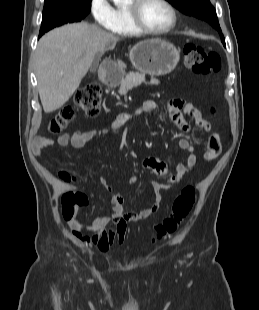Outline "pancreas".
I'll return each instance as SVG.
<instances>
[{
    "label": "pancreas",
    "instance_id": "cf45deb5",
    "mask_svg": "<svg viewBox=\"0 0 259 310\" xmlns=\"http://www.w3.org/2000/svg\"><path fill=\"white\" fill-rule=\"evenodd\" d=\"M145 82V75L138 72H131L125 76V78L120 81L119 94L125 95L130 89L139 86L141 83ZM159 81L152 78L150 84H158Z\"/></svg>",
    "mask_w": 259,
    "mask_h": 310
}]
</instances>
